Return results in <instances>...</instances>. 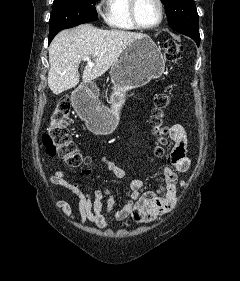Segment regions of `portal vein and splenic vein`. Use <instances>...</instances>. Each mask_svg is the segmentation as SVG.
Segmentation results:
<instances>
[{"label":"portal vein and splenic vein","mask_w":240,"mask_h":281,"mask_svg":"<svg viewBox=\"0 0 240 281\" xmlns=\"http://www.w3.org/2000/svg\"><path fill=\"white\" fill-rule=\"evenodd\" d=\"M84 61H87V63L89 64L90 67L93 66V63L91 62L90 58L88 56L84 57L83 59Z\"/></svg>","instance_id":"18ae733b"}]
</instances>
